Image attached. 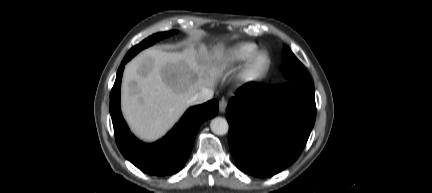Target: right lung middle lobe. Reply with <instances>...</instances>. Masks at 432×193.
<instances>
[{"mask_svg": "<svg viewBox=\"0 0 432 193\" xmlns=\"http://www.w3.org/2000/svg\"><path fill=\"white\" fill-rule=\"evenodd\" d=\"M176 31H169V32H163V33H157L154 34L145 40H143L140 44L134 46L129 50L127 55L124 58H128L129 60L134 57L139 51L142 49L153 45L156 41L161 40L163 38L169 37L170 35L174 34Z\"/></svg>", "mask_w": 432, "mask_h": 193, "instance_id": "obj_1", "label": "right lung middle lobe"}]
</instances>
